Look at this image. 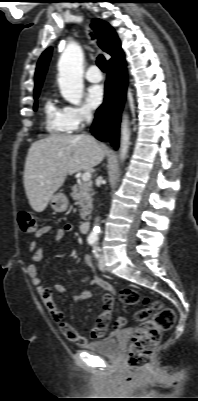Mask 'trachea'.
I'll return each instance as SVG.
<instances>
[{"label": "trachea", "mask_w": 198, "mask_h": 401, "mask_svg": "<svg viewBox=\"0 0 198 401\" xmlns=\"http://www.w3.org/2000/svg\"><path fill=\"white\" fill-rule=\"evenodd\" d=\"M96 62H97L98 67H99L103 72H106V71H107V63H106V59L104 58L103 55L100 54V55L97 57Z\"/></svg>", "instance_id": "3493384b"}]
</instances>
